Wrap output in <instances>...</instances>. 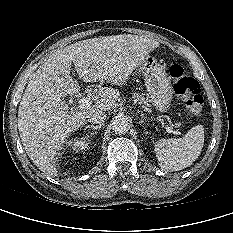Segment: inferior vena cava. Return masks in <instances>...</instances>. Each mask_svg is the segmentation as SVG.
<instances>
[{
  "label": "inferior vena cava",
  "mask_w": 233,
  "mask_h": 233,
  "mask_svg": "<svg viewBox=\"0 0 233 233\" xmlns=\"http://www.w3.org/2000/svg\"><path fill=\"white\" fill-rule=\"evenodd\" d=\"M87 120L92 124H102L106 120V114L102 110H94L92 111Z\"/></svg>",
  "instance_id": "1"
}]
</instances>
